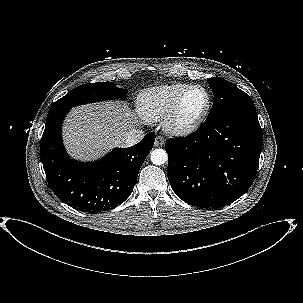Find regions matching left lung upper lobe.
Here are the masks:
<instances>
[{"instance_id": "1", "label": "left lung upper lobe", "mask_w": 303, "mask_h": 303, "mask_svg": "<svg viewBox=\"0 0 303 303\" xmlns=\"http://www.w3.org/2000/svg\"><path fill=\"white\" fill-rule=\"evenodd\" d=\"M208 83L214 94V102L206 120L228 114L256 110L251 97L229 81L214 77L209 78Z\"/></svg>"}]
</instances>
